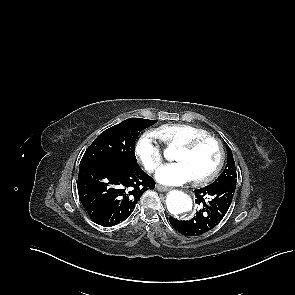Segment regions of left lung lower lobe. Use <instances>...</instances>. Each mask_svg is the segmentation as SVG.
Listing matches in <instances>:
<instances>
[{"label":"left lung lower lobe","mask_w":295,"mask_h":295,"mask_svg":"<svg viewBox=\"0 0 295 295\" xmlns=\"http://www.w3.org/2000/svg\"><path fill=\"white\" fill-rule=\"evenodd\" d=\"M236 184H210L196 189V203L201 206L199 212L189 221L169 218L170 224L186 236H199L213 229L227 213L235 192Z\"/></svg>","instance_id":"0a47b994"}]
</instances>
